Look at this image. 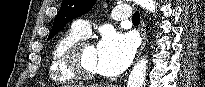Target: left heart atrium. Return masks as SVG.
I'll return each mask as SVG.
<instances>
[{"label":"left heart atrium","instance_id":"left-heart-atrium-1","mask_svg":"<svg viewBox=\"0 0 205 87\" xmlns=\"http://www.w3.org/2000/svg\"><path fill=\"white\" fill-rule=\"evenodd\" d=\"M135 48L131 34L106 32L96 46L97 72L105 76L120 74L131 63Z\"/></svg>","mask_w":205,"mask_h":87}]
</instances>
